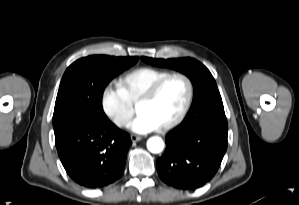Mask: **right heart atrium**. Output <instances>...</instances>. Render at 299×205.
Returning a JSON list of instances; mask_svg holds the SVG:
<instances>
[{
  "label": "right heart atrium",
  "instance_id": "right-heart-atrium-1",
  "mask_svg": "<svg viewBox=\"0 0 299 205\" xmlns=\"http://www.w3.org/2000/svg\"><path fill=\"white\" fill-rule=\"evenodd\" d=\"M100 104L104 114L119 128L125 127L134 114L133 105L118 85L110 83L103 88Z\"/></svg>",
  "mask_w": 299,
  "mask_h": 205
}]
</instances>
